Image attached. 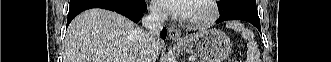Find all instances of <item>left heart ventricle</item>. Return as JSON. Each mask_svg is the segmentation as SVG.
I'll list each match as a JSON object with an SVG mask.
<instances>
[{
    "label": "left heart ventricle",
    "mask_w": 331,
    "mask_h": 62,
    "mask_svg": "<svg viewBox=\"0 0 331 62\" xmlns=\"http://www.w3.org/2000/svg\"><path fill=\"white\" fill-rule=\"evenodd\" d=\"M207 12H208V10L203 3L199 2V1H193L191 13L188 16V18L206 15Z\"/></svg>",
    "instance_id": "left-heart-ventricle-1"
}]
</instances>
